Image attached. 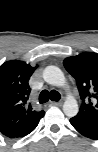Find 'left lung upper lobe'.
Returning <instances> with one entry per match:
<instances>
[{
  "label": "left lung upper lobe",
  "instance_id": "left-lung-upper-lobe-1",
  "mask_svg": "<svg viewBox=\"0 0 98 152\" xmlns=\"http://www.w3.org/2000/svg\"><path fill=\"white\" fill-rule=\"evenodd\" d=\"M63 64L75 78L82 99L75 118L98 124V54L84 52L64 59Z\"/></svg>",
  "mask_w": 98,
  "mask_h": 152
}]
</instances>
